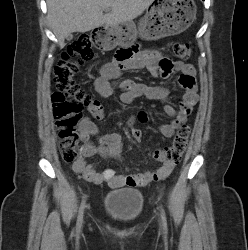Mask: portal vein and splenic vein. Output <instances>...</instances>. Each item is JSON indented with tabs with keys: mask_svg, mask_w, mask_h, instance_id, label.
I'll use <instances>...</instances> for the list:
<instances>
[{
	"mask_svg": "<svg viewBox=\"0 0 248 250\" xmlns=\"http://www.w3.org/2000/svg\"><path fill=\"white\" fill-rule=\"evenodd\" d=\"M105 12H107V14H108L109 10H105Z\"/></svg>",
	"mask_w": 248,
	"mask_h": 250,
	"instance_id": "1",
	"label": "portal vein and splenic vein"
}]
</instances>
